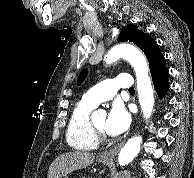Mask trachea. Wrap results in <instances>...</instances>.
Segmentation results:
<instances>
[{"label":"trachea","mask_w":194,"mask_h":178,"mask_svg":"<svg viewBox=\"0 0 194 178\" xmlns=\"http://www.w3.org/2000/svg\"><path fill=\"white\" fill-rule=\"evenodd\" d=\"M129 92H134V88L133 87H130L129 88Z\"/></svg>","instance_id":"trachea-1"}]
</instances>
